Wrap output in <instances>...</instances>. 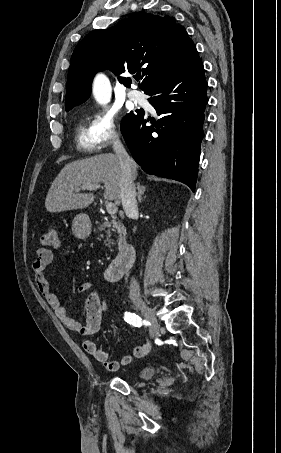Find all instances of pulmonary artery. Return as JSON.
I'll use <instances>...</instances> for the list:
<instances>
[{"label": "pulmonary artery", "instance_id": "pulmonary-artery-1", "mask_svg": "<svg viewBox=\"0 0 281 453\" xmlns=\"http://www.w3.org/2000/svg\"><path fill=\"white\" fill-rule=\"evenodd\" d=\"M127 95L131 101L144 105L148 110H153V107H152L149 99L143 92L133 89V90H129Z\"/></svg>", "mask_w": 281, "mask_h": 453}]
</instances>
